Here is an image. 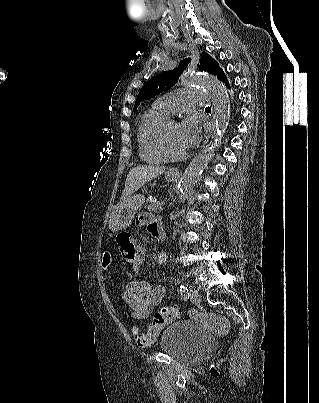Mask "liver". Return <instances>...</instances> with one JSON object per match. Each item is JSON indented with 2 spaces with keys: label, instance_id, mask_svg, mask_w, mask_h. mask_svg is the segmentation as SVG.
I'll return each instance as SVG.
<instances>
[{
  "label": "liver",
  "instance_id": "liver-1",
  "mask_svg": "<svg viewBox=\"0 0 319 403\" xmlns=\"http://www.w3.org/2000/svg\"><path fill=\"white\" fill-rule=\"evenodd\" d=\"M165 171L164 167L159 166H137L130 170L125 181L120 203L127 200L135 191L148 181L156 178Z\"/></svg>",
  "mask_w": 319,
  "mask_h": 403
}]
</instances>
